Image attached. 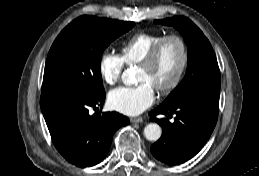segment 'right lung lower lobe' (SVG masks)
Instances as JSON below:
<instances>
[{"label":"right lung lower lobe","instance_id":"98d812e1","mask_svg":"<svg viewBox=\"0 0 259 176\" xmlns=\"http://www.w3.org/2000/svg\"><path fill=\"white\" fill-rule=\"evenodd\" d=\"M105 91L81 94L71 91L42 93L40 106L52 141L60 154L78 167L94 166L107 155L113 134L129 119L117 112H95Z\"/></svg>","mask_w":259,"mask_h":176}]
</instances>
